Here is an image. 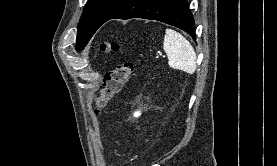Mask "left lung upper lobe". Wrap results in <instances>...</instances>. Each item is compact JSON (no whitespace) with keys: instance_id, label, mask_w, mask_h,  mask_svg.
I'll list each match as a JSON object with an SVG mask.
<instances>
[{"instance_id":"5c2ea615","label":"left lung upper lobe","mask_w":277,"mask_h":166,"mask_svg":"<svg viewBox=\"0 0 277 166\" xmlns=\"http://www.w3.org/2000/svg\"><path fill=\"white\" fill-rule=\"evenodd\" d=\"M134 0H88L77 29L76 50H82L96 30Z\"/></svg>"}]
</instances>
